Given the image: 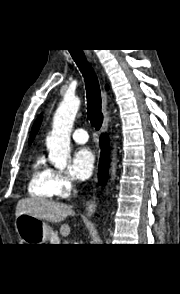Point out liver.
<instances>
[{
	"label": "liver",
	"mask_w": 180,
	"mask_h": 294,
	"mask_svg": "<svg viewBox=\"0 0 180 294\" xmlns=\"http://www.w3.org/2000/svg\"><path fill=\"white\" fill-rule=\"evenodd\" d=\"M21 214H28L41 220L59 223L68 215H72L73 210L71 206L63 203L39 198H26L19 200L16 206V218ZM60 232L62 235L67 236L70 233L69 225L63 224Z\"/></svg>",
	"instance_id": "obj_1"
}]
</instances>
